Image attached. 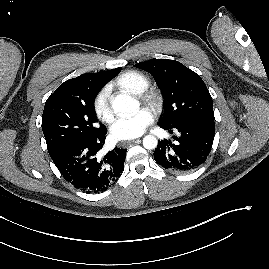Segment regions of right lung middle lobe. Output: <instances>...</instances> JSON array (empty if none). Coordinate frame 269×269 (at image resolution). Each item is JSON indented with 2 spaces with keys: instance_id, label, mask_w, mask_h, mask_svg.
I'll use <instances>...</instances> for the list:
<instances>
[{
  "instance_id": "obj_1",
  "label": "right lung middle lobe",
  "mask_w": 269,
  "mask_h": 269,
  "mask_svg": "<svg viewBox=\"0 0 269 269\" xmlns=\"http://www.w3.org/2000/svg\"><path fill=\"white\" fill-rule=\"evenodd\" d=\"M100 89H81L50 95L42 115V130L51 157L71 143L95 137L106 128L97 126L94 100Z\"/></svg>"
}]
</instances>
